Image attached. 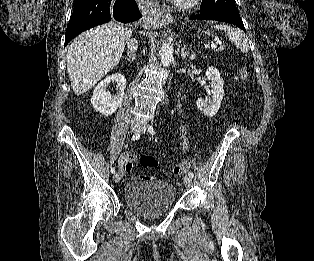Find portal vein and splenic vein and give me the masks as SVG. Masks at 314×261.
I'll list each match as a JSON object with an SVG mask.
<instances>
[{"instance_id":"obj_1","label":"portal vein and splenic vein","mask_w":314,"mask_h":261,"mask_svg":"<svg viewBox=\"0 0 314 261\" xmlns=\"http://www.w3.org/2000/svg\"><path fill=\"white\" fill-rule=\"evenodd\" d=\"M217 44H221V41L217 40L215 43L212 42L211 48L215 49L217 47Z\"/></svg>"}]
</instances>
